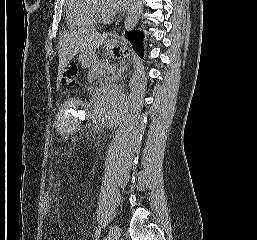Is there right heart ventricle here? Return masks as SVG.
Here are the masks:
<instances>
[{
	"instance_id": "1",
	"label": "right heart ventricle",
	"mask_w": 257,
	"mask_h": 240,
	"mask_svg": "<svg viewBox=\"0 0 257 240\" xmlns=\"http://www.w3.org/2000/svg\"><path fill=\"white\" fill-rule=\"evenodd\" d=\"M68 24L74 28L95 27L100 15L94 0H66Z\"/></svg>"
}]
</instances>
